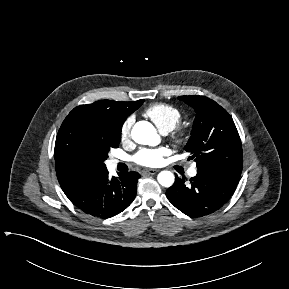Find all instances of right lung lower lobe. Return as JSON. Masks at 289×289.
<instances>
[{
  "mask_svg": "<svg viewBox=\"0 0 289 289\" xmlns=\"http://www.w3.org/2000/svg\"><path fill=\"white\" fill-rule=\"evenodd\" d=\"M108 176L105 170L66 195L80 210L94 217L110 218L124 211L136 196L140 174L135 171Z\"/></svg>",
  "mask_w": 289,
  "mask_h": 289,
  "instance_id": "right-lung-lower-lobe-1",
  "label": "right lung lower lobe"
}]
</instances>
